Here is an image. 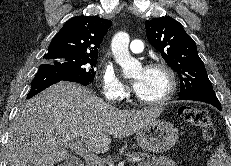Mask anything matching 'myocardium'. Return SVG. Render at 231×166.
<instances>
[{"label": "myocardium", "mask_w": 231, "mask_h": 166, "mask_svg": "<svg viewBox=\"0 0 231 166\" xmlns=\"http://www.w3.org/2000/svg\"><path fill=\"white\" fill-rule=\"evenodd\" d=\"M148 70H160L165 73L168 79V88L163 96L155 100H146L136 94L137 100L146 106H161L167 103L175 94L177 89V75L175 71L166 62L154 61L146 66Z\"/></svg>", "instance_id": "1"}]
</instances>
